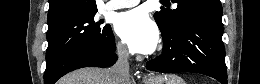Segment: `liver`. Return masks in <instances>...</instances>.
<instances>
[{
    "label": "liver",
    "instance_id": "1",
    "mask_svg": "<svg viewBox=\"0 0 260 84\" xmlns=\"http://www.w3.org/2000/svg\"><path fill=\"white\" fill-rule=\"evenodd\" d=\"M58 84H114L111 69L87 67L73 71L62 79ZM131 81L129 80V83Z\"/></svg>",
    "mask_w": 260,
    "mask_h": 84
}]
</instances>
